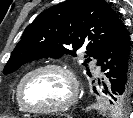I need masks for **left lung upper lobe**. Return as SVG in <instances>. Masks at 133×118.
I'll return each instance as SVG.
<instances>
[{
	"instance_id": "5c2ea615",
	"label": "left lung upper lobe",
	"mask_w": 133,
	"mask_h": 118,
	"mask_svg": "<svg viewBox=\"0 0 133 118\" xmlns=\"http://www.w3.org/2000/svg\"><path fill=\"white\" fill-rule=\"evenodd\" d=\"M122 25L105 0H66L43 11L26 27L3 72L12 73L23 64L40 58L76 56L80 48L86 49L87 59L83 65L87 66L89 57L98 59ZM87 74L91 76L89 70ZM109 102L110 114H126L131 93L127 91L118 98L111 97Z\"/></svg>"
}]
</instances>
